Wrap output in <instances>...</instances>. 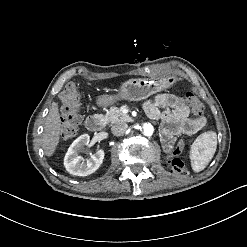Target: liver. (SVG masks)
<instances>
[{
	"instance_id": "1",
	"label": "liver",
	"mask_w": 247,
	"mask_h": 247,
	"mask_svg": "<svg viewBox=\"0 0 247 247\" xmlns=\"http://www.w3.org/2000/svg\"><path fill=\"white\" fill-rule=\"evenodd\" d=\"M62 126L63 123L58 104L57 102L52 101L44 123V132L42 136L43 151L46 157H52L55 154L61 139Z\"/></svg>"
}]
</instances>
